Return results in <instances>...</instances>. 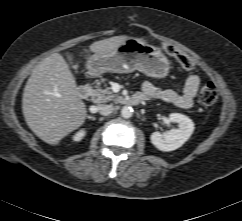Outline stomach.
<instances>
[{
  "mask_svg": "<svg viewBox=\"0 0 242 221\" xmlns=\"http://www.w3.org/2000/svg\"><path fill=\"white\" fill-rule=\"evenodd\" d=\"M89 74L126 73L138 70L153 78H164L170 62L162 51L136 38H127L111 52L95 53L88 58Z\"/></svg>",
  "mask_w": 242,
  "mask_h": 221,
  "instance_id": "obj_1",
  "label": "stomach"
}]
</instances>
